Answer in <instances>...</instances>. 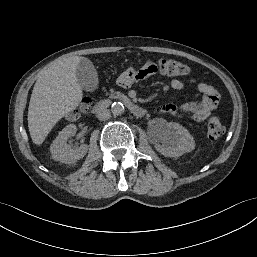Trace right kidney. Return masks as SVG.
<instances>
[{
    "mask_svg": "<svg viewBox=\"0 0 257 257\" xmlns=\"http://www.w3.org/2000/svg\"><path fill=\"white\" fill-rule=\"evenodd\" d=\"M76 132L77 127L74 124L67 125L59 132L58 136L50 146V151L54 160L71 164L82 159L86 155L88 151V146L86 144H82L76 149H72L71 146L67 144V140L71 136H74Z\"/></svg>",
    "mask_w": 257,
    "mask_h": 257,
    "instance_id": "ca27d5eb",
    "label": "right kidney"
}]
</instances>
